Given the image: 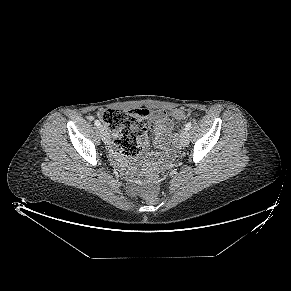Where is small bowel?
Here are the masks:
<instances>
[{"instance_id": "obj_1", "label": "small bowel", "mask_w": 291, "mask_h": 291, "mask_svg": "<svg viewBox=\"0 0 291 291\" xmlns=\"http://www.w3.org/2000/svg\"><path fill=\"white\" fill-rule=\"evenodd\" d=\"M151 121L154 124L153 144L156 148L163 151V154L157 152H148V140L145 131H142L138 140L144 151L145 162L142 168V176L147 179L155 178L156 174L168 167L172 162V129L173 123L169 115L162 110H156L151 114ZM120 165L126 172L132 176V171L127 168L123 157L116 156Z\"/></svg>"}]
</instances>
